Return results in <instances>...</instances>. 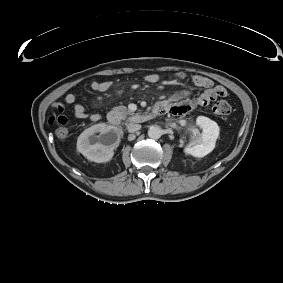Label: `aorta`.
I'll list each match as a JSON object with an SVG mask.
<instances>
[{
	"label": "aorta",
	"instance_id": "1",
	"mask_svg": "<svg viewBox=\"0 0 283 283\" xmlns=\"http://www.w3.org/2000/svg\"><path fill=\"white\" fill-rule=\"evenodd\" d=\"M162 135V130L159 126H151L148 129V136L152 139H158Z\"/></svg>",
	"mask_w": 283,
	"mask_h": 283
}]
</instances>
